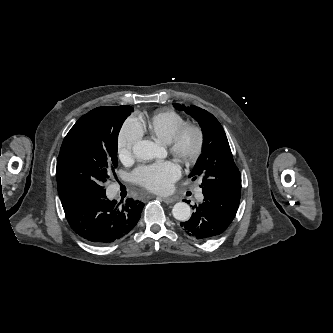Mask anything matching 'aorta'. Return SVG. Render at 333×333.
<instances>
[{
    "instance_id": "aorta-1",
    "label": "aorta",
    "mask_w": 333,
    "mask_h": 333,
    "mask_svg": "<svg viewBox=\"0 0 333 333\" xmlns=\"http://www.w3.org/2000/svg\"><path fill=\"white\" fill-rule=\"evenodd\" d=\"M156 144L149 140H141L133 146V153L138 159L150 160L157 156ZM172 214L175 219L186 221L191 215L190 206L185 202H178L173 206Z\"/></svg>"
}]
</instances>
